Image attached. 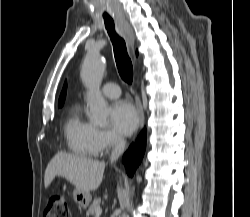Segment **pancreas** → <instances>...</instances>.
I'll list each match as a JSON object with an SVG mask.
<instances>
[{"instance_id":"1","label":"pancreas","mask_w":250,"mask_h":217,"mask_svg":"<svg viewBox=\"0 0 250 217\" xmlns=\"http://www.w3.org/2000/svg\"><path fill=\"white\" fill-rule=\"evenodd\" d=\"M100 203H101L100 199L93 200V203L90 205V207L86 212L87 216L94 215L96 213V209L100 207Z\"/></svg>"}]
</instances>
